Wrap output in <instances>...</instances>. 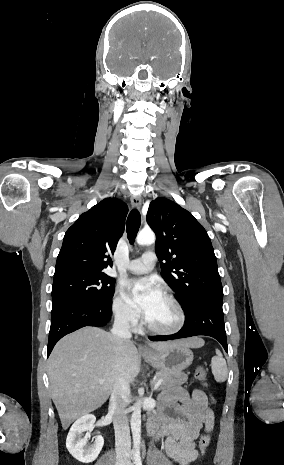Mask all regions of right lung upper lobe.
<instances>
[{"label":"right lung upper lobe","mask_w":284,"mask_h":465,"mask_svg":"<svg viewBox=\"0 0 284 465\" xmlns=\"http://www.w3.org/2000/svg\"><path fill=\"white\" fill-rule=\"evenodd\" d=\"M127 205L106 198L80 215L65 233L58 254L54 279L72 274H105L112 267L110 255L121 237Z\"/></svg>","instance_id":"obj_1"}]
</instances>
